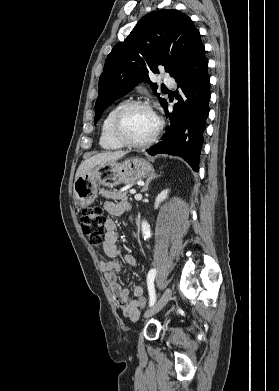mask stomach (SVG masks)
Segmentation results:
<instances>
[{
	"mask_svg": "<svg viewBox=\"0 0 279 391\" xmlns=\"http://www.w3.org/2000/svg\"><path fill=\"white\" fill-rule=\"evenodd\" d=\"M154 172L143 158H130L124 162L98 164L74 182V199L80 207L91 205L97 198L98 185L108 187L130 184L144 179Z\"/></svg>",
	"mask_w": 279,
	"mask_h": 391,
	"instance_id": "1",
	"label": "stomach"
}]
</instances>
